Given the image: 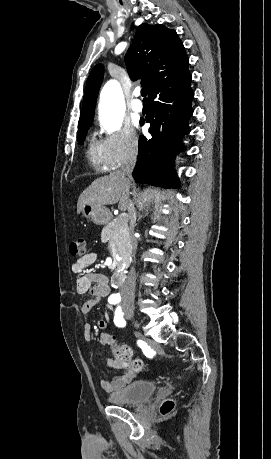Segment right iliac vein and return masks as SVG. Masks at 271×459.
<instances>
[{"instance_id":"right-iliac-vein-1","label":"right iliac vein","mask_w":271,"mask_h":459,"mask_svg":"<svg viewBox=\"0 0 271 459\" xmlns=\"http://www.w3.org/2000/svg\"><path fill=\"white\" fill-rule=\"evenodd\" d=\"M126 313H127L129 316H132L133 311H132L131 309H128V310H126ZM132 323H133V325H134L136 328L139 327V324H138L137 321H135L134 319H132Z\"/></svg>"}]
</instances>
